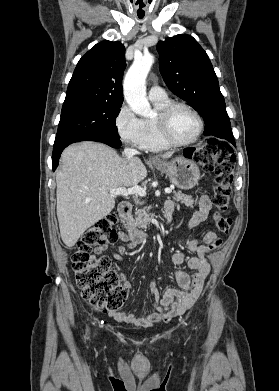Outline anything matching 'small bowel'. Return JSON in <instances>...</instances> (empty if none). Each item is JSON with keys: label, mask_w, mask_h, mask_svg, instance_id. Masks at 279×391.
Segmentation results:
<instances>
[{"label": "small bowel", "mask_w": 279, "mask_h": 391, "mask_svg": "<svg viewBox=\"0 0 279 391\" xmlns=\"http://www.w3.org/2000/svg\"><path fill=\"white\" fill-rule=\"evenodd\" d=\"M165 206L175 207L174 203L168 201ZM212 204L207 195L199 197V209L193 214L189 221L191 228L206 220ZM217 238L216 233L208 231L205 234L204 241L206 244H199L196 240H191L188 243V248L191 253L196 256L186 260V256L182 252H177L173 255V263L176 266H182L187 262L188 268L192 271V275L185 271L179 270L176 272V280L180 289H168L163 295H160L156 281L151 279L150 292L154 297L153 306L155 312L144 315H136L135 313H126L123 311H110L109 316L117 322L133 324L139 327H150L158 323H167L173 318L183 314L190 309L202 293L204 283L210 271V265L206 258L208 244ZM119 239L127 243L129 248H133L137 243L133 242L130 234L120 233ZM107 250L106 245L99 246L95 249L97 254H102ZM126 255V247L120 245L112 254L113 258L121 261ZM123 286L125 289L130 288V283L123 277Z\"/></svg>", "instance_id": "c3829d8e"}]
</instances>
